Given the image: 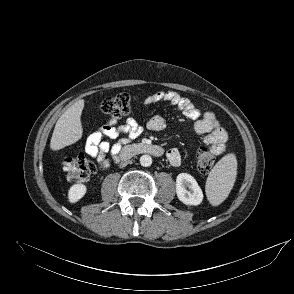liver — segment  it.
I'll return each mask as SVG.
<instances>
[{
	"mask_svg": "<svg viewBox=\"0 0 294 294\" xmlns=\"http://www.w3.org/2000/svg\"><path fill=\"white\" fill-rule=\"evenodd\" d=\"M83 108L84 100L81 99L70 106L58 119L50 141L52 150H60L81 139L83 134L81 123Z\"/></svg>",
	"mask_w": 294,
	"mask_h": 294,
	"instance_id": "liver-1",
	"label": "liver"
}]
</instances>
